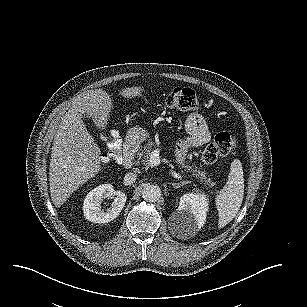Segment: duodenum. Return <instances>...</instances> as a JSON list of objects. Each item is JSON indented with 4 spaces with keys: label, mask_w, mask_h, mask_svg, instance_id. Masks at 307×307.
<instances>
[{
    "label": "duodenum",
    "mask_w": 307,
    "mask_h": 307,
    "mask_svg": "<svg viewBox=\"0 0 307 307\" xmlns=\"http://www.w3.org/2000/svg\"><path fill=\"white\" fill-rule=\"evenodd\" d=\"M136 146L132 142H127L123 149V164L126 168H131L134 163Z\"/></svg>",
    "instance_id": "obj_1"
}]
</instances>
